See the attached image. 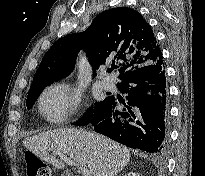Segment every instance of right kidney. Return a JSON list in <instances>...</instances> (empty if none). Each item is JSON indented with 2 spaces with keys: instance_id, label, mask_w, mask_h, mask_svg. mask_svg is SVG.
I'll return each mask as SVG.
<instances>
[{
  "instance_id": "1",
  "label": "right kidney",
  "mask_w": 205,
  "mask_h": 176,
  "mask_svg": "<svg viewBox=\"0 0 205 176\" xmlns=\"http://www.w3.org/2000/svg\"><path fill=\"white\" fill-rule=\"evenodd\" d=\"M124 176H141V175L138 173H135V172H129V173L125 174Z\"/></svg>"
}]
</instances>
